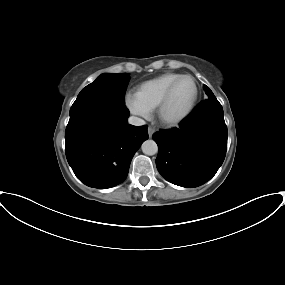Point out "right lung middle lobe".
<instances>
[{"label":"right lung middle lobe","instance_id":"dd1d6c3e","mask_svg":"<svg viewBox=\"0 0 285 285\" xmlns=\"http://www.w3.org/2000/svg\"><path fill=\"white\" fill-rule=\"evenodd\" d=\"M130 77L127 73L102 74L79 93L70 109V115L94 101H109L125 105L124 95Z\"/></svg>","mask_w":285,"mask_h":285}]
</instances>
